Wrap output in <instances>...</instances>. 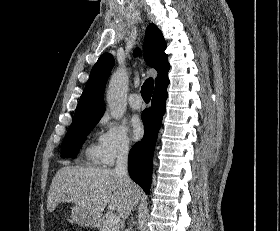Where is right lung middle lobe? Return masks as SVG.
I'll return each instance as SVG.
<instances>
[{"label": "right lung middle lobe", "mask_w": 280, "mask_h": 231, "mask_svg": "<svg viewBox=\"0 0 280 231\" xmlns=\"http://www.w3.org/2000/svg\"><path fill=\"white\" fill-rule=\"evenodd\" d=\"M98 121H87L70 126L61 146V157L75 158L87 135L96 126Z\"/></svg>", "instance_id": "right-lung-middle-lobe-1"}]
</instances>
